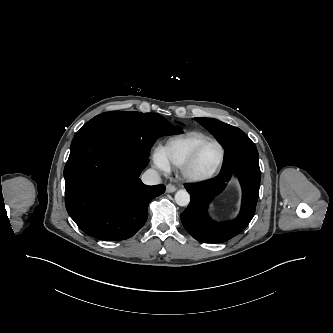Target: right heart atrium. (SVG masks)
<instances>
[{"label": "right heart atrium", "instance_id": "obj_1", "mask_svg": "<svg viewBox=\"0 0 333 333\" xmlns=\"http://www.w3.org/2000/svg\"><path fill=\"white\" fill-rule=\"evenodd\" d=\"M153 164L165 173L170 170V167L164 162L158 151L153 154Z\"/></svg>", "mask_w": 333, "mask_h": 333}]
</instances>
